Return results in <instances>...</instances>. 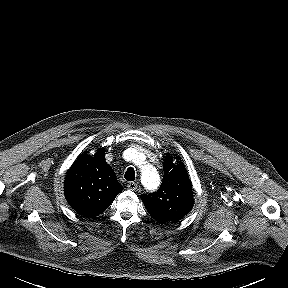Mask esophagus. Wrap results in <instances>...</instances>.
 <instances>
[{
    "mask_svg": "<svg viewBox=\"0 0 288 288\" xmlns=\"http://www.w3.org/2000/svg\"><path fill=\"white\" fill-rule=\"evenodd\" d=\"M128 189L129 190H132V191H136L138 189V185L136 182H130L128 185H127Z\"/></svg>",
    "mask_w": 288,
    "mask_h": 288,
    "instance_id": "esophagus-1",
    "label": "esophagus"
}]
</instances>
